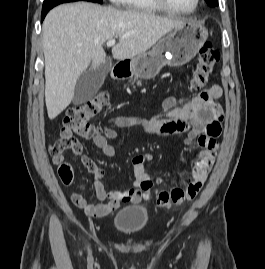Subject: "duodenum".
Returning <instances> with one entry per match:
<instances>
[{"mask_svg":"<svg viewBox=\"0 0 265 269\" xmlns=\"http://www.w3.org/2000/svg\"><path fill=\"white\" fill-rule=\"evenodd\" d=\"M113 77L115 79H120L122 77H125L128 74V66L124 64H117L113 68Z\"/></svg>","mask_w":265,"mask_h":269,"instance_id":"1","label":"duodenum"}]
</instances>
